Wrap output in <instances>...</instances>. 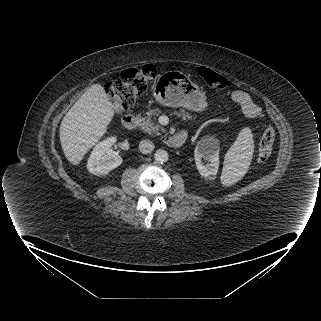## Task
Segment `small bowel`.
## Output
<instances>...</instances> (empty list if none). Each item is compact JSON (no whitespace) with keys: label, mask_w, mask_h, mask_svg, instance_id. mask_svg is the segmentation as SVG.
I'll list each match as a JSON object with an SVG mask.
<instances>
[{"label":"small bowel","mask_w":321,"mask_h":321,"mask_svg":"<svg viewBox=\"0 0 321 321\" xmlns=\"http://www.w3.org/2000/svg\"><path fill=\"white\" fill-rule=\"evenodd\" d=\"M230 99L239 106L247 116L260 121L265 119L263 110L253 101L247 92L234 90L230 93Z\"/></svg>","instance_id":"small-bowel-1"}]
</instances>
